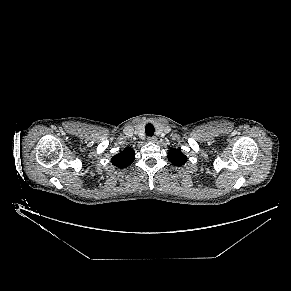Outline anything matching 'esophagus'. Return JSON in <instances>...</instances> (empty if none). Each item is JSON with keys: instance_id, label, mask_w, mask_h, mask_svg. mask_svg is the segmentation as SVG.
I'll return each mask as SVG.
<instances>
[{"instance_id": "1", "label": "esophagus", "mask_w": 291, "mask_h": 291, "mask_svg": "<svg viewBox=\"0 0 291 291\" xmlns=\"http://www.w3.org/2000/svg\"><path fill=\"white\" fill-rule=\"evenodd\" d=\"M157 141V138L156 137H148V142L150 143H155Z\"/></svg>"}]
</instances>
